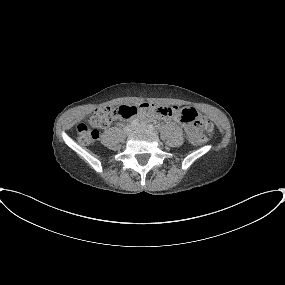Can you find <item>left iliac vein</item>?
Here are the masks:
<instances>
[{"label": "left iliac vein", "instance_id": "4c4485c4", "mask_svg": "<svg viewBox=\"0 0 285 285\" xmlns=\"http://www.w3.org/2000/svg\"><path fill=\"white\" fill-rule=\"evenodd\" d=\"M145 128H146V125L145 124H141V125L136 126L134 129L135 130H140V129H145Z\"/></svg>", "mask_w": 285, "mask_h": 285}]
</instances>
